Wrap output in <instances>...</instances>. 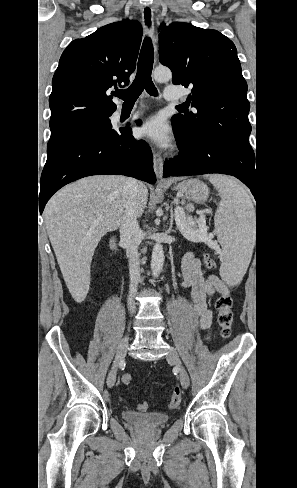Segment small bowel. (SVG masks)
<instances>
[{
  "label": "small bowel",
  "instance_id": "obj_1",
  "mask_svg": "<svg viewBox=\"0 0 297 488\" xmlns=\"http://www.w3.org/2000/svg\"><path fill=\"white\" fill-rule=\"evenodd\" d=\"M181 285L191 290L194 302L192 312L198 319L199 326L209 331L213 320L211 300L215 294L230 296L228 285L217 275L205 277L200 259L192 252H187L182 258Z\"/></svg>",
  "mask_w": 297,
  "mask_h": 488
}]
</instances>
